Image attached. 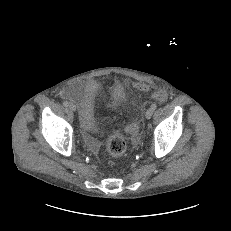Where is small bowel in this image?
<instances>
[{"mask_svg": "<svg viewBox=\"0 0 231 231\" xmlns=\"http://www.w3.org/2000/svg\"><path fill=\"white\" fill-rule=\"evenodd\" d=\"M98 89V82L90 79L86 82L74 83L66 91V95L77 101L82 107L80 119L84 130L83 137L93 152H97L99 149V142L91 135V132H95L98 129L93 117L92 106L94 95ZM123 97L114 95V102H120Z\"/></svg>", "mask_w": 231, "mask_h": 231, "instance_id": "small-bowel-1", "label": "small bowel"}]
</instances>
